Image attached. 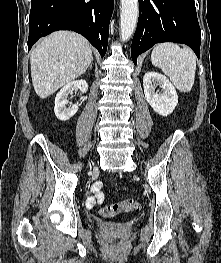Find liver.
Wrapping results in <instances>:
<instances>
[{"instance_id": "obj_1", "label": "liver", "mask_w": 221, "mask_h": 263, "mask_svg": "<svg viewBox=\"0 0 221 263\" xmlns=\"http://www.w3.org/2000/svg\"><path fill=\"white\" fill-rule=\"evenodd\" d=\"M93 60L90 43L71 31L42 39L31 52V77L36 94L45 99L85 73Z\"/></svg>"}]
</instances>
